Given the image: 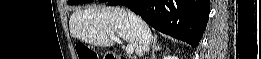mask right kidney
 Returning a JSON list of instances; mask_svg holds the SVG:
<instances>
[{
    "instance_id": "1",
    "label": "right kidney",
    "mask_w": 261,
    "mask_h": 59,
    "mask_svg": "<svg viewBox=\"0 0 261 59\" xmlns=\"http://www.w3.org/2000/svg\"><path fill=\"white\" fill-rule=\"evenodd\" d=\"M164 59H177V57H164Z\"/></svg>"
}]
</instances>
